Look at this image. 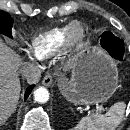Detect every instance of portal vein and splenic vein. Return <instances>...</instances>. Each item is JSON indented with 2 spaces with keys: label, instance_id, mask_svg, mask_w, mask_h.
I'll list each match as a JSON object with an SVG mask.
<instances>
[{
  "label": "portal vein and splenic vein",
  "instance_id": "portal-vein-and-splenic-vein-1",
  "mask_svg": "<svg viewBox=\"0 0 130 130\" xmlns=\"http://www.w3.org/2000/svg\"><path fill=\"white\" fill-rule=\"evenodd\" d=\"M104 110V108L102 107V106H100L99 108H98V111L99 112H102Z\"/></svg>",
  "mask_w": 130,
  "mask_h": 130
}]
</instances>
